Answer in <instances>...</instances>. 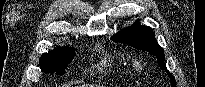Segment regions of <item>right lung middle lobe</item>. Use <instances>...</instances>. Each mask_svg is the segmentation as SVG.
<instances>
[{"label": "right lung middle lobe", "mask_w": 205, "mask_h": 87, "mask_svg": "<svg viewBox=\"0 0 205 87\" xmlns=\"http://www.w3.org/2000/svg\"><path fill=\"white\" fill-rule=\"evenodd\" d=\"M75 55L74 48L58 47L48 53H44L40 58V68L44 72L63 75L69 62Z\"/></svg>", "instance_id": "1"}]
</instances>
